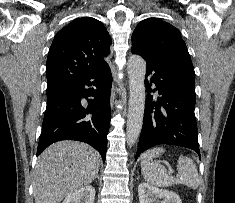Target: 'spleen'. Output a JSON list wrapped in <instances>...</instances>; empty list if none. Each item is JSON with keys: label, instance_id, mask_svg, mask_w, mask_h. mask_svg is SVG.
Segmentation results:
<instances>
[{"label": "spleen", "instance_id": "spleen-1", "mask_svg": "<svg viewBox=\"0 0 235 203\" xmlns=\"http://www.w3.org/2000/svg\"><path fill=\"white\" fill-rule=\"evenodd\" d=\"M165 150L160 147L148 150L141 158V173L144 179L158 187H169L173 184H183L189 188L197 189L199 186V175L195 163L186 156H179L177 163L178 177L169 176L164 166L153 158L164 153Z\"/></svg>", "mask_w": 235, "mask_h": 203}]
</instances>
